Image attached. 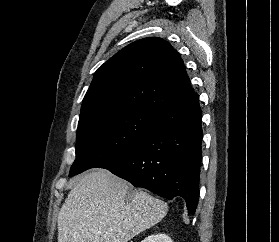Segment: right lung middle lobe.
<instances>
[{
    "label": "right lung middle lobe",
    "instance_id": "dd1d6c3e",
    "mask_svg": "<svg viewBox=\"0 0 279 242\" xmlns=\"http://www.w3.org/2000/svg\"><path fill=\"white\" fill-rule=\"evenodd\" d=\"M158 118V113L145 110H109L80 117L69 177L101 167L134 147L155 128Z\"/></svg>",
    "mask_w": 279,
    "mask_h": 242
}]
</instances>
